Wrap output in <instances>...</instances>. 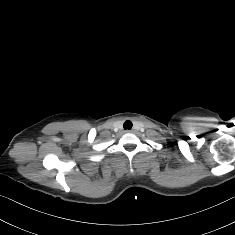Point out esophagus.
<instances>
[{
  "label": "esophagus",
  "mask_w": 235,
  "mask_h": 235,
  "mask_svg": "<svg viewBox=\"0 0 235 235\" xmlns=\"http://www.w3.org/2000/svg\"><path fill=\"white\" fill-rule=\"evenodd\" d=\"M126 132H133V130H126Z\"/></svg>",
  "instance_id": "esophagus-1"
}]
</instances>
